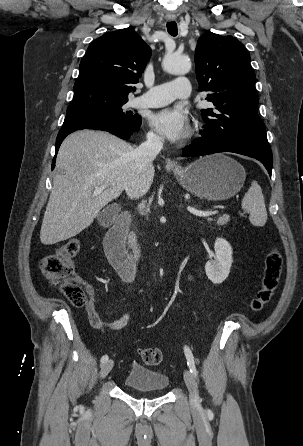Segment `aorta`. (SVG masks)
<instances>
[{
    "instance_id": "obj_1",
    "label": "aorta",
    "mask_w": 303,
    "mask_h": 446,
    "mask_svg": "<svg viewBox=\"0 0 303 446\" xmlns=\"http://www.w3.org/2000/svg\"><path fill=\"white\" fill-rule=\"evenodd\" d=\"M163 69L170 74H186L191 68L190 61L183 56L167 54L162 63Z\"/></svg>"
}]
</instances>
